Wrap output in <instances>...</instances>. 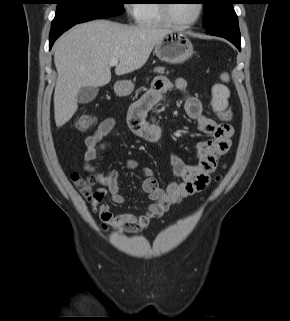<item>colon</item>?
<instances>
[{"mask_svg": "<svg viewBox=\"0 0 290 321\" xmlns=\"http://www.w3.org/2000/svg\"><path fill=\"white\" fill-rule=\"evenodd\" d=\"M217 115L224 120H231L233 113L229 109L217 110ZM96 119L91 114H82L76 124L79 131L85 132L93 128ZM71 179L80 193L89 201L94 199H100L103 197L104 193L102 190L95 188L92 180L88 177L79 175L78 173H73Z\"/></svg>", "mask_w": 290, "mask_h": 321, "instance_id": "obj_1", "label": "colon"}]
</instances>
